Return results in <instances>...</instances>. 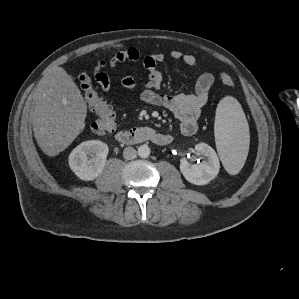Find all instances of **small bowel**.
<instances>
[{
	"label": "small bowel",
	"mask_w": 299,
	"mask_h": 299,
	"mask_svg": "<svg viewBox=\"0 0 299 299\" xmlns=\"http://www.w3.org/2000/svg\"><path fill=\"white\" fill-rule=\"evenodd\" d=\"M171 58L175 61H182L188 66H197L198 62L195 56L183 54L180 51H172ZM142 59L145 69L148 71V79L143 84L140 98L143 102L168 109L179 123V131L185 136H191L198 129V122L202 114L203 107L207 104L210 96V90L214 83V76L209 72H203L199 75L195 90L192 93H180L175 95H161L159 90L162 85L163 75L159 69V64L164 61L162 53H154L141 58L140 52L136 48L116 52L108 61L101 60L95 67V80L105 92L110 90V79L103 72L107 66L116 68L119 64L129 61L138 62ZM121 84L126 89H134L136 80L129 75L121 78ZM168 142L173 139L171 134H164ZM167 142V143H168Z\"/></svg>",
	"instance_id": "obj_1"
}]
</instances>
